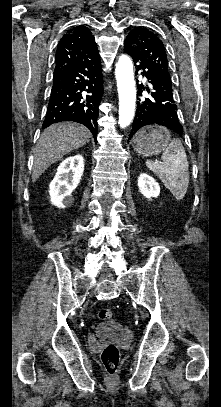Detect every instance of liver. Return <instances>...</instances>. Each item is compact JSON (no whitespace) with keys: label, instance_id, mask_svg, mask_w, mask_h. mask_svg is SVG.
Here are the masks:
<instances>
[{"label":"liver","instance_id":"6515ba94","mask_svg":"<svg viewBox=\"0 0 221 407\" xmlns=\"http://www.w3.org/2000/svg\"><path fill=\"white\" fill-rule=\"evenodd\" d=\"M90 137V131L77 123H57L46 128L34 150L32 182L64 155L88 143Z\"/></svg>","mask_w":221,"mask_h":407}]
</instances>
